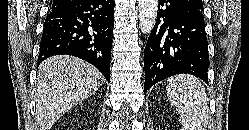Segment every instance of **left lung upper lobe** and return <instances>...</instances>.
I'll list each match as a JSON object with an SVG mask.
<instances>
[{
    "mask_svg": "<svg viewBox=\"0 0 249 130\" xmlns=\"http://www.w3.org/2000/svg\"><path fill=\"white\" fill-rule=\"evenodd\" d=\"M184 2L188 3L197 10L203 11V4L201 0H184Z\"/></svg>",
    "mask_w": 249,
    "mask_h": 130,
    "instance_id": "5c2ea615",
    "label": "left lung upper lobe"
}]
</instances>
